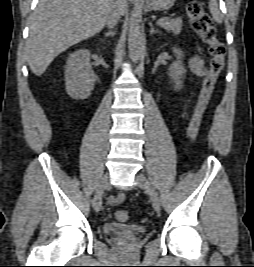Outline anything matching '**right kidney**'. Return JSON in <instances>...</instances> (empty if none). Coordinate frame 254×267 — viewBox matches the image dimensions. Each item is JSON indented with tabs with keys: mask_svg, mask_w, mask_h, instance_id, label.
Masks as SVG:
<instances>
[{
	"mask_svg": "<svg viewBox=\"0 0 254 267\" xmlns=\"http://www.w3.org/2000/svg\"><path fill=\"white\" fill-rule=\"evenodd\" d=\"M95 79L88 50H77L68 57L65 66V85L66 92L71 98L87 99L94 88Z\"/></svg>",
	"mask_w": 254,
	"mask_h": 267,
	"instance_id": "1",
	"label": "right kidney"
}]
</instances>
